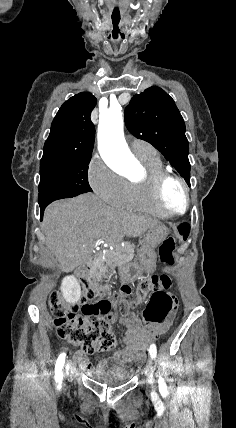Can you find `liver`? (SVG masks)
<instances>
[{
  "label": "liver",
  "instance_id": "obj_1",
  "mask_svg": "<svg viewBox=\"0 0 236 428\" xmlns=\"http://www.w3.org/2000/svg\"><path fill=\"white\" fill-rule=\"evenodd\" d=\"M160 224L148 216L120 212L95 194L52 202L44 212L45 246L56 256L61 270L71 272L91 260L98 240L117 244L124 236L138 238Z\"/></svg>",
  "mask_w": 236,
  "mask_h": 428
}]
</instances>
